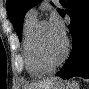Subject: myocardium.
I'll use <instances>...</instances> for the list:
<instances>
[{"label":"myocardium","mask_w":89,"mask_h":89,"mask_svg":"<svg viewBox=\"0 0 89 89\" xmlns=\"http://www.w3.org/2000/svg\"><path fill=\"white\" fill-rule=\"evenodd\" d=\"M45 23H47V21L42 20L38 22L36 26V29L33 35V52L38 64L51 72L55 70L58 66H60L61 63L65 60L69 50V43H68V40L64 38V48L60 57L54 62H49L45 58L41 48V33H42L43 25Z\"/></svg>","instance_id":"obj_1"}]
</instances>
